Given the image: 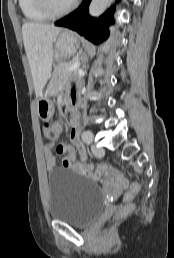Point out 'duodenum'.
Masks as SVG:
<instances>
[{
  "mask_svg": "<svg viewBox=\"0 0 174 258\" xmlns=\"http://www.w3.org/2000/svg\"><path fill=\"white\" fill-rule=\"evenodd\" d=\"M67 106H68V111L70 113H73L74 110L76 109V107L78 106L77 96L69 97L68 102H67Z\"/></svg>",
  "mask_w": 174,
  "mask_h": 258,
  "instance_id": "obj_1",
  "label": "duodenum"
}]
</instances>
